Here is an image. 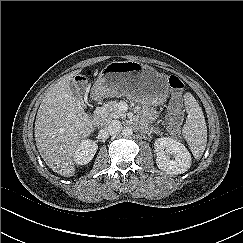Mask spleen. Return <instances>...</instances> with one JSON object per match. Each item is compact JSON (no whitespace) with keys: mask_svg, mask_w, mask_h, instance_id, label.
<instances>
[{"mask_svg":"<svg viewBox=\"0 0 243 243\" xmlns=\"http://www.w3.org/2000/svg\"><path fill=\"white\" fill-rule=\"evenodd\" d=\"M184 98L188 115L182 133L194 157L199 159L205 151L207 143L205 117L201 107L192 94L186 93Z\"/></svg>","mask_w":243,"mask_h":243,"instance_id":"spleen-1","label":"spleen"}]
</instances>
